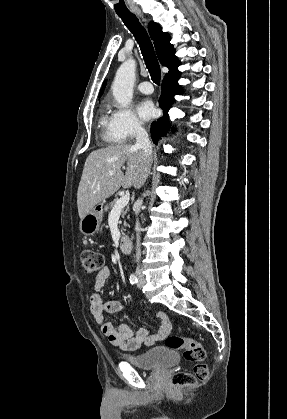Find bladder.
I'll list each match as a JSON object with an SVG mask.
<instances>
[{
    "instance_id": "bladder-1",
    "label": "bladder",
    "mask_w": 287,
    "mask_h": 419,
    "mask_svg": "<svg viewBox=\"0 0 287 419\" xmlns=\"http://www.w3.org/2000/svg\"><path fill=\"white\" fill-rule=\"evenodd\" d=\"M126 360L138 368L145 370H165L179 362L173 349L158 346L138 355H129Z\"/></svg>"
}]
</instances>
